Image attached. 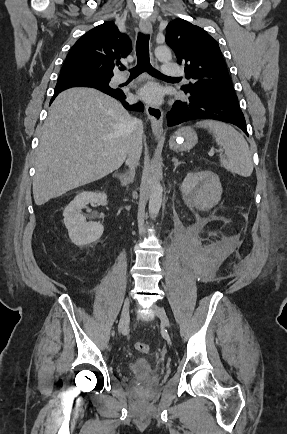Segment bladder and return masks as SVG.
I'll return each instance as SVG.
<instances>
[{
  "label": "bladder",
  "instance_id": "obj_1",
  "mask_svg": "<svg viewBox=\"0 0 287 434\" xmlns=\"http://www.w3.org/2000/svg\"><path fill=\"white\" fill-rule=\"evenodd\" d=\"M129 372L133 376L148 375L153 371V365L147 358H136L129 365Z\"/></svg>",
  "mask_w": 287,
  "mask_h": 434
}]
</instances>
